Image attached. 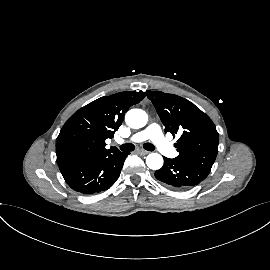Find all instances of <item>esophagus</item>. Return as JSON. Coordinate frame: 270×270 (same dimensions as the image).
Instances as JSON below:
<instances>
[{
    "label": "esophagus",
    "instance_id": "esophagus-1",
    "mask_svg": "<svg viewBox=\"0 0 270 270\" xmlns=\"http://www.w3.org/2000/svg\"><path fill=\"white\" fill-rule=\"evenodd\" d=\"M138 153L141 154V155H147L149 152L146 151V150H143V149H139Z\"/></svg>",
    "mask_w": 270,
    "mask_h": 270
}]
</instances>
